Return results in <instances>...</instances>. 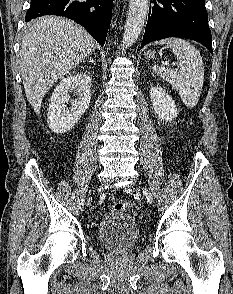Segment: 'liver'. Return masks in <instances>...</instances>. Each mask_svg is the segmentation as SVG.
<instances>
[{
    "instance_id": "6515ba94",
    "label": "liver",
    "mask_w": 233,
    "mask_h": 294,
    "mask_svg": "<svg viewBox=\"0 0 233 294\" xmlns=\"http://www.w3.org/2000/svg\"><path fill=\"white\" fill-rule=\"evenodd\" d=\"M94 50V39L73 21L44 16L32 21L20 48V68L27 100L39 115L53 84Z\"/></svg>"
}]
</instances>
